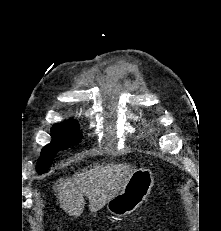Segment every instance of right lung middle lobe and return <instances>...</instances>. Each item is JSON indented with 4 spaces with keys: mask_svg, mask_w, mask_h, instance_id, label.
<instances>
[{
    "mask_svg": "<svg viewBox=\"0 0 221 231\" xmlns=\"http://www.w3.org/2000/svg\"><path fill=\"white\" fill-rule=\"evenodd\" d=\"M77 129L78 124L73 120L53 126L51 135L54 140L43 148L41 157L37 163L38 172L47 170L58 150L80 141L81 135L78 134Z\"/></svg>",
    "mask_w": 221,
    "mask_h": 231,
    "instance_id": "1",
    "label": "right lung middle lobe"
}]
</instances>
